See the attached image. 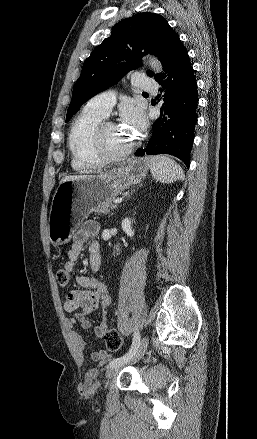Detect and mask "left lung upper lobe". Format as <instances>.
I'll use <instances>...</instances> for the list:
<instances>
[{
	"instance_id": "left-lung-upper-lobe-1",
	"label": "left lung upper lobe",
	"mask_w": 257,
	"mask_h": 439,
	"mask_svg": "<svg viewBox=\"0 0 257 439\" xmlns=\"http://www.w3.org/2000/svg\"><path fill=\"white\" fill-rule=\"evenodd\" d=\"M178 38L165 18L151 12L138 13L117 23L111 36L85 60L73 89L66 122L86 101L138 68L143 55L157 56L165 67ZM147 74L154 75L150 71Z\"/></svg>"
}]
</instances>
